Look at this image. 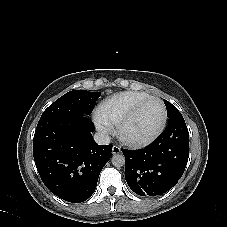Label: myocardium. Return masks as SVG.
I'll return each mask as SVG.
<instances>
[{
	"label": "myocardium",
	"instance_id": "f54148a6",
	"mask_svg": "<svg viewBox=\"0 0 227 227\" xmlns=\"http://www.w3.org/2000/svg\"><path fill=\"white\" fill-rule=\"evenodd\" d=\"M150 101H157L161 104L162 109H163V118L158 126V128L147 138L145 139H132L126 136L125 130L126 127L136 118L140 110L144 105H146ZM168 120V111L166 104L164 101L158 97L150 96L143 101H141L139 104H137L119 123L117 126V134L119 139L125 143L126 145H129L131 147H145L151 143H153L164 131L166 124Z\"/></svg>",
	"mask_w": 227,
	"mask_h": 227
}]
</instances>
